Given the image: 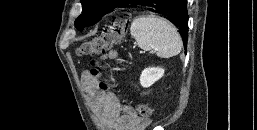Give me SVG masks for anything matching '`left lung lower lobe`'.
<instances>
[{"mask_svg":"<svg viewBox=\"0 0 257 130\" xmlns=\"http://www.w3.org/2000/svg\"><path fill=\"white\" fill-rule=\"evenodd\" d=\"M132 4L149 7L148 10L161 14L178 27L185 49L188 40V14L186 0H133Z\"/></svg>","mask_w":257,"mask_h":130,"instance_id":"left-lung-lower-lobe-1","label":"left lung lower lobe"}]
</instances>
